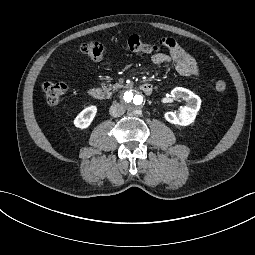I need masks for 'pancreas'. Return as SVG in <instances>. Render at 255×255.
Masks as SVG:
<instances>
[{"label": "pancreas", "mask_w": 255, "mask_h": 255, "mask_svg": "<svg viewBox=\"0 0 255 255\" xmlns=\"http://www.w3.org/2000/svg\"><path fill=\"white\" fill-rule=\"evenodd\" d=\"M102 87H103V90L105 91V93H109L111 90H117V89H119V88H122L123 87V85H121V84H118V83H116V84H114V85H109V87H107L104 83L102 84Z\"/></svg>", "instance_id": "cf45deb5"}]
</instances>
